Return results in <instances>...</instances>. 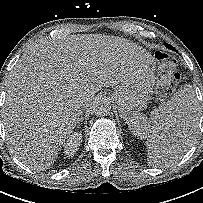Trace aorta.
Listing matches in <instances>:
<instances>
[{
	"label": "aorta",
	"instance_id": "762f6f07",
	"mask_svg": "<svg viewBox=\"0 0 203 203\" xmlns=\"http://www.w3.org/2000/svg\"><path fill=\"white\" fill-rule=\"evenodd\" d=\"M93 111L97 116H106L111 111V104L108 100H97L93 104Z\"/></svg>",
	"mask_w": 203,
	"mask_h": 203
}]
</instances>
